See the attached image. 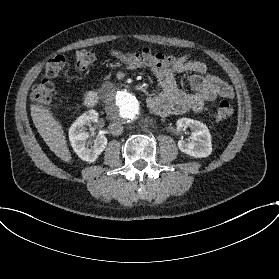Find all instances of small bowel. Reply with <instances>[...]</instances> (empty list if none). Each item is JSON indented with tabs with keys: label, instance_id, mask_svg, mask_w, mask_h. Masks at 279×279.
<instances>
[{
	"label": "small bowel",
	"instance_id": "c3829d8e",
	"mask_svg": "<svg viewBox=\"0 0 279 279\" xmlns=\"http://www.w3.org/2000/svg\"><path fill=\"white\" fill-rule=\"evenodd\" d=\"M113 55L128 70H147L156 79L158 92L149 97L147 106L156 114L167 116L187 111H202L218 96L231 97L232 88L219 77L209 74L205 62L189 55L154 53L143 47L139 51L123 52L114 49ZM190 72L191 92L182 90L176 81L177 73Z\"/></svg>",
	"mask_w": 279,
	"mask_h": 279
}]
</instances>
